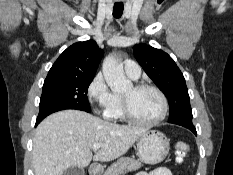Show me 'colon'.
I'll return each instance as SVG.
<instances>
[{"instance_id": "1", "label": "colon", "mask_w": 233, "mask_h": 175, "mask_svg": "<svg viewBox=\"0 0 233 175\" xmlns=\"http://www.w3.org/2000/svg\"><path fill=\"white\" fill-rule=\"evenodd\" d=\"M174 149H175L176 157H177L179 160H182V159H183L184 157H186L187 154L189 153V151H190V146H189V144L186 143V142L178 141V142L175 143Z\"/></svg>"}]
</instances>
